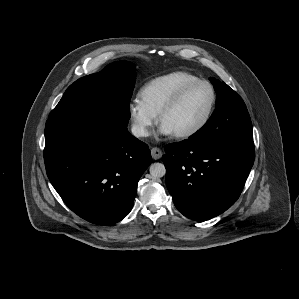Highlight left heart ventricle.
<instances>
[{"mask_svg": "<svg viewBox=\"0 0 299 299\" xmlns=\"http://www.w3.org/2000/svg\"><path fill=\"white\" fill-rule=\"evenodd\" d=\"M210 99V90L206 85L191 88L178 105L164 117L161 125L173 134L193 128L203 119Z\"/></svg>", "mask_w": 299, "mask_h": 299, "instance_id": "left-heart-ventricle-1", "label": "left heart ventricle"}]
</instances>
